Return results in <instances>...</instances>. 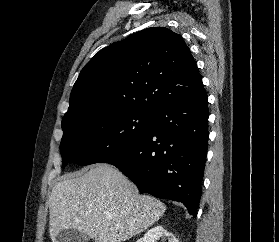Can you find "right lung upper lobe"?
I'll use <instances>...</instances> for the list:
<instances>
[{"label": "right lung upper lobe", "mask_w": 279, "mask_h": 242, "mask_svg": "<svg viewBox=\"0 0 279 242\" xmlns=\"http://www.w3.org/2000/svg\"><path fill=\"white\" fill-rule=\"evenodd\" d=\"M204 86L180 35L151 27L99 51L81 70L62 124L121 110L156 112L198 95Z\"/></svg>", "instance_id": "1"}]
</instances>
